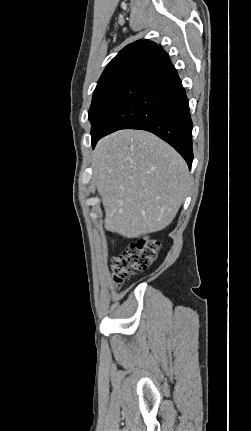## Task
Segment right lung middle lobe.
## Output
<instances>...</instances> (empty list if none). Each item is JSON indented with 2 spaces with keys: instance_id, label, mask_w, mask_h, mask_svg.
I'll return each mask as SVG.
<instances>
[{
  "instance_id": "1",
  "label": "right lung middle lobe",
  "mask_w": 251,
  "mask_h": 431,
  "mask_svg": "<svg viewBox=\"0 0 251 431\" xmlns=\"http://www.w3.org/2000/svg\"><path fill=\"white\" fill-rule=\"evenodd\" d=\"M148 63L125 65L99 81L89 109L91 139L100 136L118 107L136 86Z\"/></svg>"
}]
</instances>
